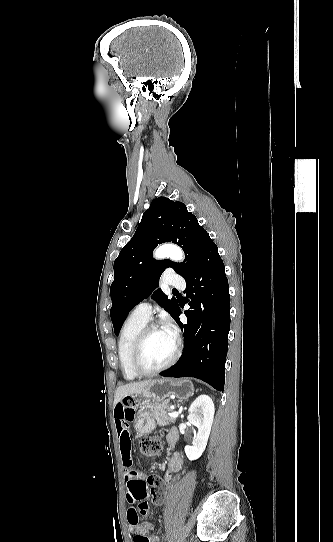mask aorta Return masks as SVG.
I'll return each mask as SVG.
<instances>
[{"instance_id": "762f6f07", "label": "aorta", "mask_w": 333, "mask_h": 542, "mask_svg": "<svg viewBox=\"0 0 333 542\" xmlns=\"http://www.w3.org/2000/svg\"><path fill=\"white\" fill-rule=\"evenodd\" d=\"M156 258H172V260H183V252L177 246H161L156 250Z\"/></svg>"}]
</instances>
